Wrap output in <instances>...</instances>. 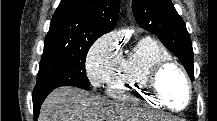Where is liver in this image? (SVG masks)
<instances>
[{
  "label": "liver",
  "instance_id": "1",
  "mask_svg": "<svg viewBox=\"0 0 217 121\" xmlns=\"http://www.w3.org/2000/svg\"><path fill=\"white\" fill-rule=\"evenodd\" d=\"M143 114L76 87L51 92L41 106L38 121H136Z\"/></svg>",
  "mask_w": 217,
  "mask_h": 121
}]
</instances>
